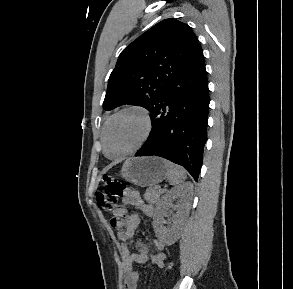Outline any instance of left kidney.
Wrapping results in <instances>:
<instances>
[{"label":"left kidney","instance_id":"5707ae66","mask_svg":"<svg viewBox=\"0 0 293 289\" xmlns=\"http://www.w3.org/2000/svg\"><path fill=\"white\" fill-rule=\"evenodd\" d=\"M191 188L192 186L188 183L172 188L164 196L156 210L153 218L154 231L156 237L168 246L174 244L179 239L182 221L188 208V194ZM174 200H179L180 210L172 217L173 224L166 228L163 225L166 209L172 205Z\"/></svg>","mask_w":293,"mask_h":289}]
</instances>
